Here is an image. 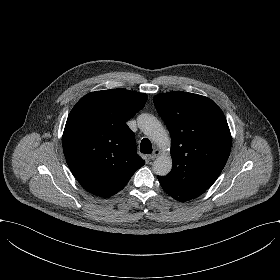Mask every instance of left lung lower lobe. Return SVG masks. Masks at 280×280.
<instances>
[{
	"label": "left lung lower lobe",
	"mask_w": 280,
	"mask_h": 280,
	"mask_svg": "<svg viewBox=\"0 0 280 280\" xmlns=\"http://www.w3.org/2000/svg\"><path fill=\"white\" fill-rule=\"evenodd\" d=\"M162 187H163V189H164V191L167 193V194H169L170 193V190L167 188V187H165V186H163V185H161ZM174 199H176V200H178V201H188V200H190V199H184V198H181V197H178V196H172Z\"/></svg>",
	"instance_id": "0a47b994"
}]
</instances>
